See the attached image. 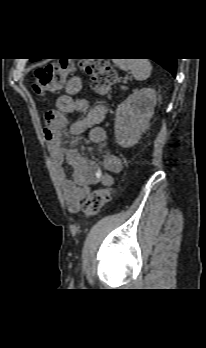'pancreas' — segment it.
Returning <instances> with one entry per match:
<instances>
[{"label": "pancreas", "instance_id": "1", "mask_svg": "<svg viewBox=\"0 0 206 348\" xmlns=\"http://www.w3.org/2000/svg\"><path fill=\"white\" fill-rule=\"evenodd\" d=\"M121 89L122 90H126L127 88L125 86H121Z\"/></svg>", "mask_w": 206, "mask_h": 348}]
</instances>
